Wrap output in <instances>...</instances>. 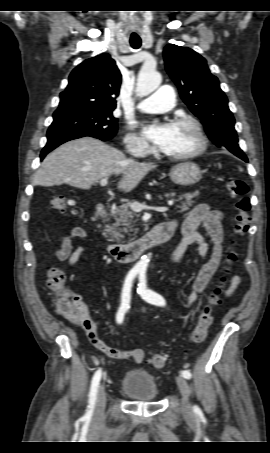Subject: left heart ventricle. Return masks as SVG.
Here are the masks:
<instances>
[{
  "label": "left heart ventricle",
  "instance_id": "left-heart-ventricle-1",
  "mask_svg": "<svg viewBox=\"0 0 270 453\" xmlns=\"http://www.w3.org/2000/svg\"><path fill=\"white\" fill-rule=\"evenodd\" d=\"M197 144L196 135L190 126L173 124V134L162 151L167 154H181L192 151Z\"/></svg>",
  "mask_w": 270,
  "mask_h": 453
}]
</instances>
